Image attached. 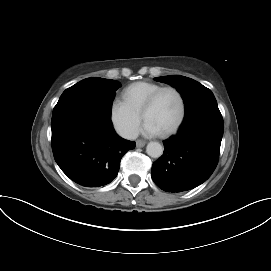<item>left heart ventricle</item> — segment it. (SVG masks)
<instances>
[{
	"label": "left heart ventricle",
	"mask_w": 271,
	"mask_h": 271,
	"mask_svg": "<svg viewBox=\"0 0 271 271\" xmlns=\"http://www.w3.org/2000/svg\"><path fill=\"white\" fill-rule=\"evenodd\" d=\"M179 112L180 103L177 95L173 91H165L146 114L145 120L154 124L163 133L175 124Z\"/></svg>",
	"instance_id": "left-heart-ventricle-1"
}]
</instances>
